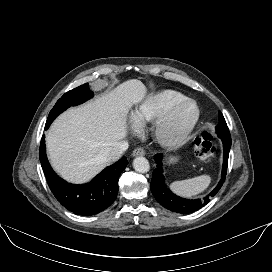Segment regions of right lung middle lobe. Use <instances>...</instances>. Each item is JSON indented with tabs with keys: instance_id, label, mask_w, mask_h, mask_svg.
<instances>
[{
	"instance_id": "dd1d6c3e",
	"label": "right lung middle lobe",
	"mask_w": 272,
	"mask_h": 272,
	"mask_svg": "<svg viewBox=\"0 0 272 272\" xmlns=\"http://www.w3.org/2000/svg\"><path fill=\"white\" fill-rule=\"evenodd\" d=\"M93 96L88 83L83 84L65 93L55 104L47 118L46 126H50L52 121L70 106L79 105Z\"/></svg>"
}]
</instances>
